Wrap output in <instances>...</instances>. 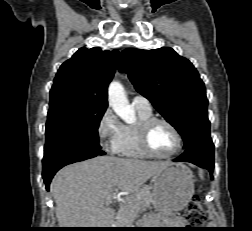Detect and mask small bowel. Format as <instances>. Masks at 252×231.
Returning a JSON list of instances; mask_svg holds the SVG:
<instances>
[{"mask_svg": "<svg viewBox=\"0 0 252 231\" xmlns=\"http://www.w3.org/2000/svg\"><path fill=\"white\" fill-rule=\"evenodd\" d=\"M156 231H164V230H156Z\"/></svg>", "mask_w": 252, "mask_h": 231, "instance_id": "small-bowel-1", "label": "small bowel"}]
</instances>
